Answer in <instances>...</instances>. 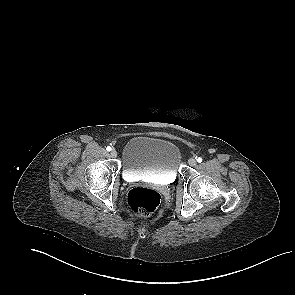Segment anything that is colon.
<instances>
[{"mask_svg": "<svg viewBox=\"0 0 295 295\" xmlns=\"http://www.w3.org/2000/svg\"><path fill=\"white\" fill-rule=\"evenodd\" d=\"M160 194L150 188L136 187L127 194V203L130 209L138 216L152 214L160 204Z\"/></svg>", "mask_w": 295, "mask_h": 295, "instance_id": "5ec220e1", "label": "colon"}]
</instances>
